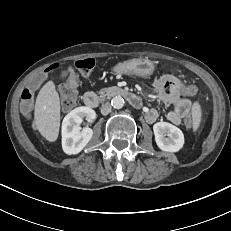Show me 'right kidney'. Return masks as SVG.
<instances>
[{
	"mask_svg": "<svg viewBox=\"0 0 231 231\" xmlns=\"http://www.w3.org/2000/svg\"><path fill=\"white\" fill-rule=\"evenodd\" d=\"M96 113L90 107H78L68 113L62 122V148L68 155L80 153L87 145L93 135V130L89 127L81 128L80 124L85 118L92 121Z\"/></svg>",
	"mask_w": 231,
	"mask_h": 231,
	"instance_id": "obj_1",
	"label": "right kidney"
}]
</instances>
